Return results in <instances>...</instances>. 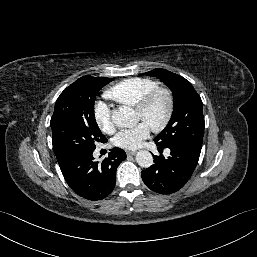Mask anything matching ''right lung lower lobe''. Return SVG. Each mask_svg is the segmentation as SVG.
Wrapping results in <instances>:
<instances>
[{"label": "right lung lower lobe", "instance_id": "obj_1", "mask_svg": "<svg viewBox=\"0 0 257 257\" xmlns=\"http://www.w3.org/2000/svg\"><path fill=\"white\" fill-rule=\"evenodd\" d=\"M93 153V152H92ZM92 153L73 156L60 166L68 185L81 197L97 201L107 197L116 183V169L126 158L124 150L115 147L102 163Z\"/></svg>", "mask_w": 257, "mask_h": 257}]
</instances>
